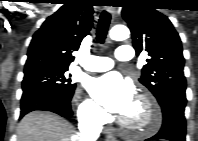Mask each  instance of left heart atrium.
Returning <instances> with one entry per match:
<instances>
[{"instance_id": "obj_1", "label": "left heart atrium", "mask_w": 198, "mask_h": 141, "mask_svg": "<svg viewBox=\"0 0 198 141\" xmlns=\"http://www.w3.org/2000/svg\"><path fill=\"white\" fill-rule=\"evenodd\" d=\"M88 91L107 111L122 116H125L135 103L133 85L116 72L92 79Z\"/></svg>"}]
</instances>
